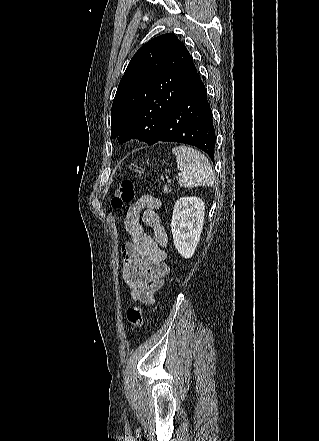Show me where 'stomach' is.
<instances>
[{
  "label": "stomach",
  "mask_w": 319,
  "mask_h": 441,
  "mask_svg": "<svg viewBox=\"0 0 319 441\" xmlns=\"http://www.w3.org/2000/svg\"><path fill=\"white\" fill-rule=\"evenodd\" d=\"M143 171H144V170H142V171H137V172H138L139 174H141V173H143Z\"/></svg>",
  "instance_id": "obj_1"
}]
</instances>
